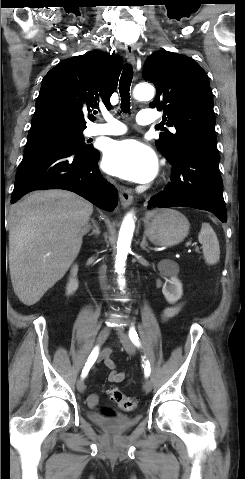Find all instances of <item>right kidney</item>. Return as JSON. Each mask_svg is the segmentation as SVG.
<instances>
[{
	"label": "right kidney",
	"mask_w": 245,
	"mask_h": 479,
	"mask_svg": "<svg viewBox=\"0 0 245 479\" xmlns=\"http://www.w3.org/2000/svg\"><path fill=\"white\" fill-rule=\"evenodd\" d=\"M77 272H78V266L74 265L71 269V276L69 278V282L66 287V294L68 296L74 294V292L78 289L79 283L76 278Z\"/></svg>",
	"instance_id": "obj_1"
}]
</instances>
